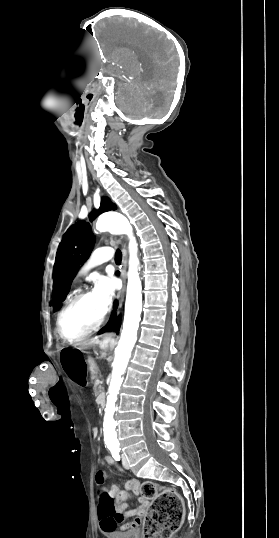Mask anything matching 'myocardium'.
I'll return each instance as SVG.
<instances>
[{"instance_id": "obj_1", "label": "myocardium", "mask_w": 279, "mask_h": 538, "mask_svg": "<svg viewBox=\"0 0 279 538\" xmlns=\"http://www.w3.org/2000/svg\"><path fill=\"white\" fill-rule=\"evenodd\" d=\"M105 232V227L100 224L99 222H97V225H96V229H95V233L97 234H102ZM94 293L93 290H82L80 292H78L76 295H74L69 301L68 303L63 307V309L61 310V312L59 313L58 317H57V321H56V326H57V333L58 335L60 336V338L66 342V343H69V344H76V343H79L81 341H83L84 339L90 337L91 335H93L94 333H96L101 325L103 324L104 320H105V317H106V311H104L102 313V315L100 316V318L98 319L97 323L95 324V326L93 328H91L90 330H88L87 332H85L84 334L78 336L77 338H74V339H69L67 338L64 334H63V330H62V320H63V317L64 315L66 314V312L74 305L76 304L77 302H79L80 300L92 295Z\"/></svg>"}]
</instances>
